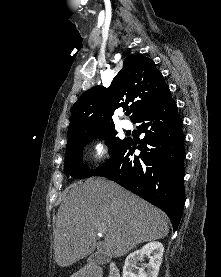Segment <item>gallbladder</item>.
Listing matches in <instances>:
<instances>
[{
    "mask_svg": "<svg viewBox=\"0 0 221 277\" xmlns=\"http://www.w3.org/2000/svg\"><path fill=\"white\" fill-rule=\"evenodd\" d=\"M109 261V257L104 256L103 254L97 252L93 255H91L88 259V262H100V263H106Z\"/></svg>",
    "mask_w": 221,
    "mask_h": 277,
    "instance_id": "bac80fb5",
    "label": "gallbladder"
}]
</instances>
